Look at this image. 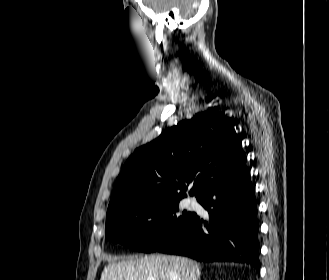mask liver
<instances>
[{
    "label": "liver",
    "instance_id": "liver-1",
    "mask_svg": "<svg viewBox=\"0 0 329 280\" xmlns=\"http://www.w3.org/2000/svg\"><path fill=\"white\" fill-rule=\"evenodd\" d=\"M115 258L103 270L100 280H199V264L187 257L150 255Z\"/></svg>",
    "mask_w": 329,
    "mask_h": 280
}]
</instances>
